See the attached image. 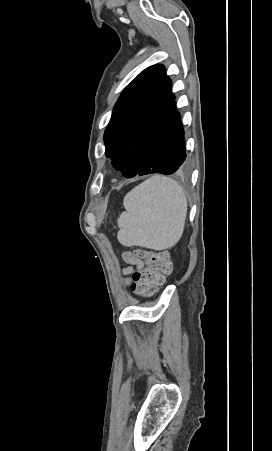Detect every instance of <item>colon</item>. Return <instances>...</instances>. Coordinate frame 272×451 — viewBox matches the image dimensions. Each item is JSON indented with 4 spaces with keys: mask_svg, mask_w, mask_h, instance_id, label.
Masks as SVG:
<instances>
[{
    "mask_svg": "<svg viewBox=\"0 0 272 451\" xmlns=\"http://www.w3.org/2000/svg\"><path fill=\"white\" fill-rule=\"evenodd\" d=\"M132 257L144 258L150 266L144 270H134L131 292L140 297L155 293L162 284L164 277L172 271L169 253L164 250L133 249Z\"/></svg>",
    "mask_w": 272,
    "mask_h": 451,
    "instance_id": "colon-1",
    "label": "colon"
}]
</instances>
